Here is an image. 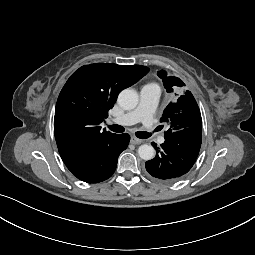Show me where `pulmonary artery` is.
Masks as SVG:
<instances>
[{"mask_svg":"<svg viewBox=\"0 0 255 255\" xmlns=\"http://www.w3.org/2000/svg\"><path fill=\"white\" fill-rule=\"evenodd\" d=\"M160 96V87L157 84L150 83L142 87L140 91V101L136 108L114 119L119 125H133L142 122L149 130H153L154 113ZM159 142L163 143L164 139L159 138Z\"/></svg>","mask_w":255,"mask_h":255,"instance_id":"obj_1","label":"pulmonary artery"}]
</instances>
